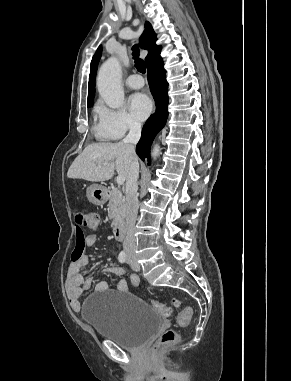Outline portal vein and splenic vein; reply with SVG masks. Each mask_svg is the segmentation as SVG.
Here are the masks:
<instances>
[{"label": "portal vein and splenic vein", "mask_w": 291, "mask_h": 381, "mask_svg": "<svg viewBox=\"0 0 291 381\" xmlns=\"http://www.w3.org/2000/svg\"><path fill=\"white\" fill-rule=\"evenodd\" d=\"M116 181H117L118 185H123L125 182V178L124 177H117Z\"/></svg>", "instance_id": "portal-vein-and-splenic-vein-1"}]
</instances>
